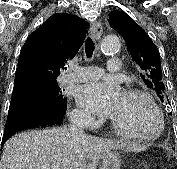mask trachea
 Here are the masks:
<instances>
[{
    "instance_id": "trachea-1",
    "label": "trachea",
    "mask_w": 177,
    "mask_h": 169,
    "mask_svg": "<svg viewBox=\"0 0 177 169\" xmlns=\"http://www.w3.org/2000/svg\"><path fill=\"white\" fill-rule=\"evenodd\" d=\"M94 50H95L94 42L90 37H88L85 43V52L87 58L92 57Z\"/></svg>"
}]
</instances>
